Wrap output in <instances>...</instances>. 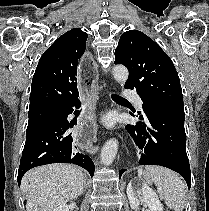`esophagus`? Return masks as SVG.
I'll use <instances>...</instances> for the list:
<instances>
[{
	"label": "esophagus",
	"mask_w": 209,
	"mask_h": 211,
	"mask_svg": "<svg viewBox=\"0 0 209 211\" xmlns=\"http://www.w3.org/2000/svg\"><path fill=\"white\" fill-rule=\"evenodd\" d=\"M81 63L78 65L77 82L79 94H84V106H95L93 94H95L96 75L92 56H82ZM86 117L94 116V108H83ZM94 119H79V128L74 133V145H78V149H91V145H95Z\"/></svg>",
	"instance_id": "1"
}]
</instances>
